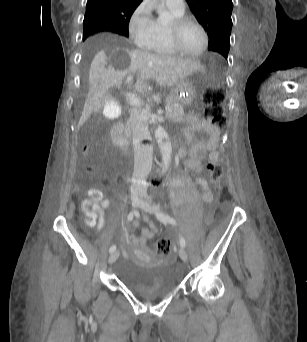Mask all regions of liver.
Here are the masks:
<instances>
[{"label":"liver","instance_id":"liver-1","mask_svg":"<svg viewBox=\"0 0 307 342\" xmlns=\"http://www.w3.org/2000/svg\"><path fill=\"white\" fill-rule=\"evenodd\" d=\"M99 49L100 56L97 54L91 62L89 92L78 128L83 126L92 112L96 114L105 106L106 92L113 86L119 90L127 74H140L134 88L137 92H146L147 80H154L158 86H177L180 80L201 68L196 60L134 50L133 44H100Z\"/></svg>","mask_w":307,"mask_h":342}]
</instances>
